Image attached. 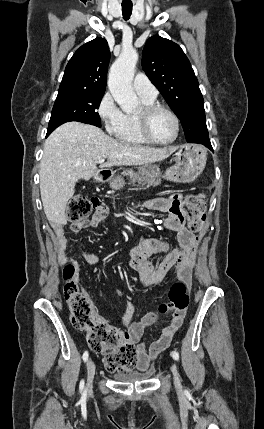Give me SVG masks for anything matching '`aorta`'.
<instances>
[{"mask_svg": "<svg viewBox=\"0 0 264 429\" xmlns=\"http://www.w3.org/2000/svg\"><path fill=\"white\" fill-rule=\"evenodd\" d=\"M138 53L133 48H125L112 64L109 72V90L123 112L132 113L138 108V98L132 88Z\"/></svg>", "mask_w": 264, "mask_h": 429, "instance_id": "1", "label": "aorta"}]
</instances>
